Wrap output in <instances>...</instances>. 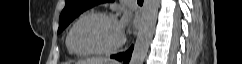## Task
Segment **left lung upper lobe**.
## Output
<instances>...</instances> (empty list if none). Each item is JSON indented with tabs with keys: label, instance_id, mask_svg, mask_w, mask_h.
<instances>
[{
	"label": "left lung upper lobe",
	"instance_id": "obj_1",
	"mask_svg": "<svg viewBox=\"0 0 242 64\" xmlns=\"http://www.w3.org/2000/svg\"><path fill=\"white\" fill-rule=\"evenodd\" d=\"M114 0H66L65 7L59 19L58 33L62 32L76 17L87 9L101 3Z\"/></svg>",
	"mask_w": 242,
	"mask_h": 64
}]
</instances>
